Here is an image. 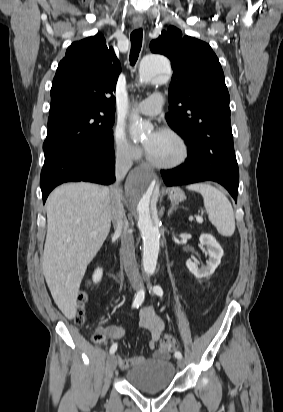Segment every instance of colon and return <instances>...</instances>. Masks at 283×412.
Instances as JSON below:
<instances>
[{
  "label": "colon",
  "mask_w": 283,
  "mask_h": 412,
  "mask_svg": "<svg viewBox=\"0 0 283 412\" xmlns=\"http://www.w3.org/2000/svg\"><path fill=\"white\" fill-rule=\"evenodd\" d=\"M85 302H86V295L83 294L79 297V302H78L76 313L74 316V321L77 324H82L85 320V309H84ZM104 339L105 338L101 333H96L93 336V341L95 343H102ZM178 347H179V344L173 337L166 336L162 338V340L160 341L159 352L161 353L162 356H167L169 353L178 349Z\"/></svg>",
  "instance_id": "1"
}]
</instances>
